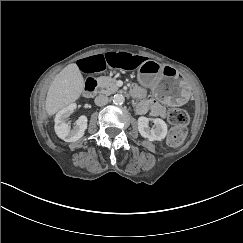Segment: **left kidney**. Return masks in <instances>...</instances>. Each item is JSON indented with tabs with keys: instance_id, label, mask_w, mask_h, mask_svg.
<instances>
[{
	"instance_id": "1",
	"label": "left kidney",
	"mask_w": 243,
	"mask_h": 243,
	"mask_svg": "<svg viewBox=\"0 0 243 243\" xmlns=\"http://www.w3.org/2000/svg\"><path fill=\"white\" fill-rule=\"evenodd\" d=\"M155 124L154 129H149V120ZM138 131L140 135L149 141H162L167 136L168 127L161 118H148L139 116L137 119Z\"/></svg>"
}]
</instances>
